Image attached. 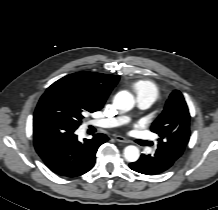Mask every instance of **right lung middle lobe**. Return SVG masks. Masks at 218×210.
<instances>
[{
	"mask_svg": "<svg viewBox=\"0 0 218 210\" xmlns=\"http://www.w3.org/2000/svg\"><path fill=\"white\" fill-rule=\"evenodd\" d=\"M95 111L87 100L53 83L40 98L34 118L61 119L77 129L84 115Z\"/></svg>",
	"mask_w": 218,
	"mask_h": 210,
	"instance_id": "1",
	"label": "right lung middle lobe"
}]
</instances>
